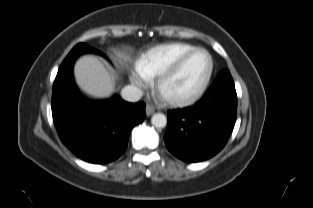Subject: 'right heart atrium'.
I'll return each instance as SVG.
<instances>
[{"label":"right heart atrium","instance_id":"right-heart-atrium-1","mask_svg":"<svg viewBox=\"0 0 313 208\" xmlns=\"http://www.w3.org/2000/svg\"><path fill=\"white\" fill-rule=\"evenodd\" d=\"M132 81L138 87H142L145 84L144 78L137 76V75L133 76Z\"/></svg>","mask_w":313,"mask_h":208}]
</instances>
